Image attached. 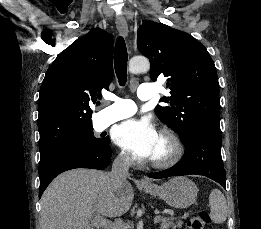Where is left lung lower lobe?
<instances>
[{"mask_svg": "<svg viewBox=\"0 0 261 229\" xmlns=\"http://www.w3.org/2000/svg\"><path fill=\"white\" fill-rule=\"evenodd\" d=\"M222 137L209 131L196 132L185 143V155L182 160L171 169L148 173L154 179L183 175H203L220 183L226 188V175L221 157Z\"/></svg>", "mask_w": 261, "mask_h": 229, "instance_id": "0a47b994", "label": "left lung lower lobe"}]
</instances>
